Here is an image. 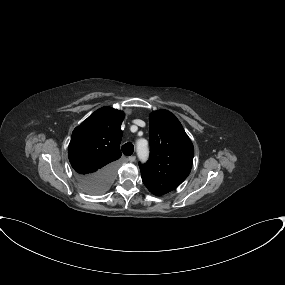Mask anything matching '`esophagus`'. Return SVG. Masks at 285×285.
<instances>
[{
    "instance_id": "1",
    "label": "esophagus",
    "mask_w": 285,
    "mask_h": 285,
    "mask_svg": "<svg viewBox=\"0 0 285 285\" xmlns=\"http://www.w3.org/2000/svg\"><path fill=\"white\" fill-rule=\"evenodd\" d=\"M135 160H136L135 156L128 157V161H130V162H134Z\"/></svg>"
}]
</instances>
